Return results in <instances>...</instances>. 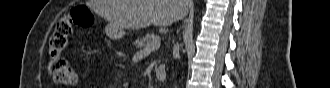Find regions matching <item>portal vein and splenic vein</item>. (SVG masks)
<instances>
[{"label":"portal vein and splenic vein","instance_id":"18ae733b","mask_svg":"<svg viewBox=\"0 0 330 88\" xmlns=\"http://www.w3.org/2000/svg\"><path fill=\"white\" fill-rule=\"evenodd\" d=\"M160 47V38L158 37V40L155 43H151L150 45L145 47V51H154L157 50Z\"/></svg>","mask_w":330,"mask_h":88}]
</instances>
